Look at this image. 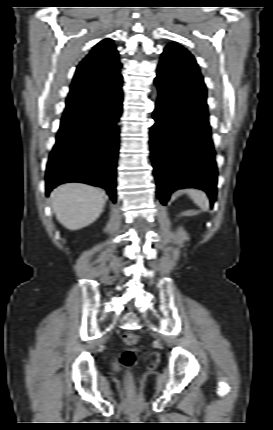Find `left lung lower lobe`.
<instances>
[{"instance_id": "obj_1", "label": "left lung lower lobe", "mask_w": 273, "mask_h": 430, "mask_svg": "<svg viewBox=\"0 0 273 430\" xmlns=\"http://www.w3.org/2000/svg\"><path fill=\"white\" fill-rule=\"evenodd\" d=\"M159 96L150 132V146L157 185L163 205L170 194L185 187L206 191L216 200L218 171L211 139L208 111L188 97L157 71Z\"/></svg>"}]
</instances>
